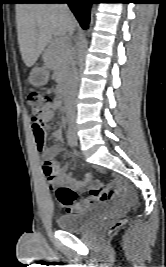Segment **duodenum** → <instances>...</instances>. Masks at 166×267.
<instances>
[{
    "instance_id": "obj_1",
    "label": "duodenum",
    "mask_w": 166,
    "mask_h": 267,
    "mask_svg": "<svg viewBox=\"0 0 166 267\" xmlns=\"http://www.w3.org/2000/svg\"><path fill=\"white\" fill-rule=\"evenodd\" d=\"M59 94H60V97L61 99H63L66 94H67V85L66 83H62L60 88H59Z\"/></svg>"
}]
</instances>
